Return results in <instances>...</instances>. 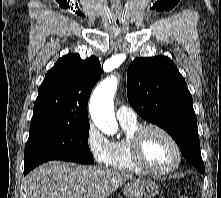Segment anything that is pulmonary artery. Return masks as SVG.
<instances>
[{
    "instance_id": "1",
    "label": "pulmonary artery",
    "mask_w": 221,
    "mask_h": 198,
    "mask_svg": "<svg viewBox=\"0 0 221 198\" xmlns=\"http://www.w3.org/2000/svg\"><path fill=\"white\" fill-rule=\"evenodd\" d=\"M116 116L120 123H133L137 121V115L135 111L125 105H121L117 109Z\"/></svg>"
}]
</instances>
